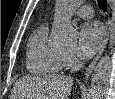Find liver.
<instances>
[{
  "label": "liver",
  "instance_id": "obj_1",
  "mask_svg": "<svg viewBox=\"0 0 115 99\" xmlns=\"http://www.w3.org/2000/svg\"><path fill=\"white\" fill-rule=\"evenodd\" d=\"M73 79L61 75L24 77L16 81L13 97L16 99H68Z\"/></svg>",
  "mask_w": 115,
  "mask_h": 99
}]
</instances>
